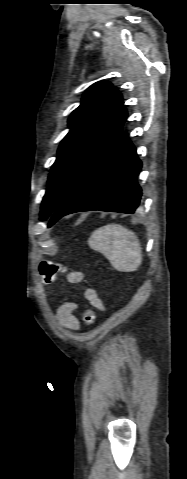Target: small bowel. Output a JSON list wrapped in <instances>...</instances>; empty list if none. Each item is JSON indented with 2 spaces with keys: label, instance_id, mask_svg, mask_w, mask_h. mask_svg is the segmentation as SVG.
Returning a JSON list of instances; mask_svg holds the SVG:
<instances>
[{
  "label": "small bowel",
  "instance_id": "obj_1",
  "mask_svg": "<svg viewBox=\"0 0 187 479\" xmlns=\"http://www.w3.org/2000/svg\"><path fill=\"white\" fill-rule=\"evenodd\" d=\"M68 281L72 284H79L83 280V274L78 271L71 272L68 277ZM84 296L86 299L96 308L103 310L104 305L99 297L96 290L92 288H85L83 290ZM78 306L75 302L70 301L68 299L62 298L60 303L55 311V317L58 323L68 329V330H78L79 328V321L74 315L75 311L77 310Z\"/></svg>",
  "mask_w": 187,
  "mask_h": 479
}]
</instances>
